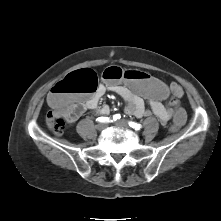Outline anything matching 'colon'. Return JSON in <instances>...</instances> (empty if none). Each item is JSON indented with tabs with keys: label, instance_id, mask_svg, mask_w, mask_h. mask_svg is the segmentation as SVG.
I'll list each match as a JSON object with an SVG mask.
<instances>
[{
	"label": "colon",
	"instance_id": "colon-1",
	"mask_svg": "<svg viewBox=\"0 0 221 221\" xmlns=\"http://www.w3.org/2000/svg\"><path fill=\"white\" fill-rule=\"evenodd\" d=\"M103 77L110 84H120L126 89H131L138 95L150 100L160 99L166 93V88L161 79L148 72H138L135 69L123 71L119 66L109 68ZM98 86L96 73L84 68L72 72L59 81L49 93L48 102L53 108L48 114L47 121L55 134H62L68 122V115L75 109L79 96L93 93ZM171 129L182 130L189 113L185 107L176 105L170 111Z\"/></svg>",
	"mask_w": 221,
	"mask_h": 221
}]
</instances>
